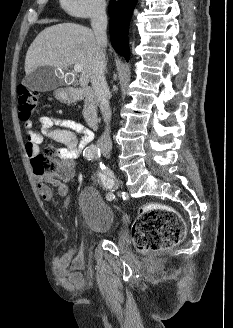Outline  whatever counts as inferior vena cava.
I'll list each match as a JSON object with an SVG mask.
<instances>
[{
    "instance_id": "1",
    "label": "inferior vena cava",
    "mask_w": 233,
    "mask_h": 328,
    "mask_svg": "<svg viewBox=\"0 0 233 328\" xmlns=\"http://www.w3.org/2000/svg\"><path fill=\"white\" fill-rule=\"evenodd\" d=\"M91 26L94 31L97 49L92 64L91 84L95 96L99 102V107L106 123L105 131L97 141V146L102 152H109L112 149L110 137L111 109L109 104V89L105 78V47L107 45V15L105 2L98 3L91 14Z\"/></svg>"
}]
</instances>
